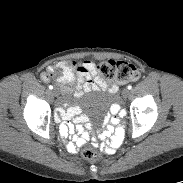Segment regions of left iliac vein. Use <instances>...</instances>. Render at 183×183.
Listing matches in <instances>:
<instances>
[{"label":"left iliac vein","mask_w":183,"mask_h":183,"mask_svg":"<svg viewBox=\"0 0 183 183\" xmlns=\"http://www.w3.org/2000/svg\"><path fill=\"white\" fill-rule=\"evenodd\" d=\"M129 94H130V91H129L128 89H124V90L122 91V96H123V98H127V97L129 96Z\"/></svg>","instance_id":"4c4485c4"}]
</instances>
